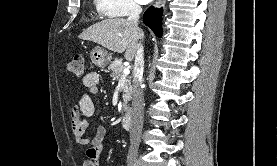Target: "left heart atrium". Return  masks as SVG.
Segmentation results:
<instances>
[{"label":"left heart atrium","mask_w":277,"mask_h":166,"mask_svg":"<svg viewBox=\"0 0 277 166\" xmlns=\"http://www.w3.org/2000/svg\"><path fill=\"white\" fill-rule=\"evenodd\" d=\"M152 0H137V2H139L140 4H147Z\"/></svg>","instance_id":"left-heart-atrium-1"}]
</instances>
